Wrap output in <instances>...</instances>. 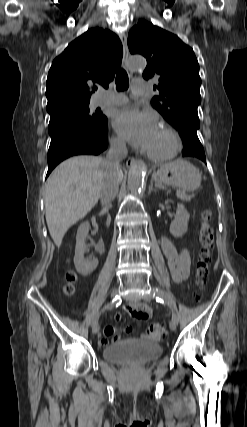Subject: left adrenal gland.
Masks as SVG:
<instances>
[{"instance_id": "a2214340", "label": "left adrenal gland", "mask_w": 247, "mask_h": 427, "mask_svg": "<svg viewBox=\"0 0 247 427\" xmlns=\"http://www.w3.org/2000/svg\"><path fill=\"white\" fill-rule=\"evenodd\" d=\"M152 191H155V189L153 188V185L151 184L148 190V193H151Z\"/></svg>"}]
</instances>
